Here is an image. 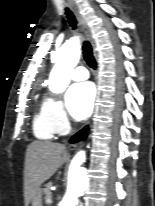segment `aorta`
<instances>
[{
    "instance_id": "obj_1",
    "label": "aorta",
    "mask_w": 155,
    "mask_h": 206,
    "mask_svg": "<svg viewBox=\"0 0 155 206\" xmlns=\"http://www.w3.org/2000/svg\"><path fill=\"white\" fill-rule=\"evenodd\" d=\"M79 58V39L72 37L58 51L57 62L50 73L48 81L50 91L60 93L67 88ZM85 160V151H79L72 159L66 192L59 206H78L79 197L84 194L88 187L87 171L83 166Z\"/></svg>"
}]
</instances>
